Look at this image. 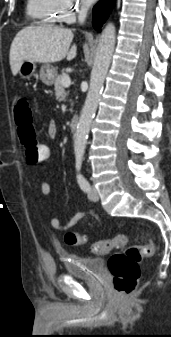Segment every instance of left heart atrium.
Instances as JSON below:
<instances>
[{
  "label": "left heart atrium",
  "instance_id": "obj_1",
  "mask_svg": "<svg viewBox=\"0 0 171 337\" xmlns=\"http://www.w3.org/2000/svg\"><path fill=\"white\" fill-rule=\"evenodd\" d=\"M86 2H92V1H94V0H85Z\"/></svg>",
  "mask_w": 171,
  "mask_h": 337
}]
</instances>
